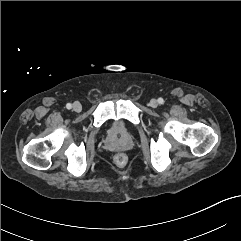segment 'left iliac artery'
I'll list each match as a JSON object with an SVG mask.
<instances>
[{"label": "left iliac artery", "instance_id": "left-iliac-artery-1", "mask_svg": "<svg viewBox=\"0 0 241 241\" xmlns=\"http://www.w3.org/2000/svg\"><path fill=\"white\" fill-rule=\"evenodd\" d=\"M158 102H159V104H163V103H164L163 98H159V99H158Z\"/></svg>", "mask_w": 241, "mask_h": 241}]
</instances>
